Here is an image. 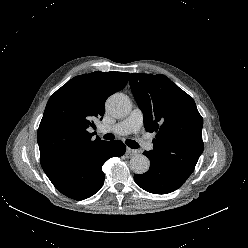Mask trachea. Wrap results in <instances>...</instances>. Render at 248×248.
<instances>
[{
	"instance_id": "3493384b",
	"label": "trachea",
	"mask_w": 248,
	"mask_h": 248,
	"mask_svg": "<svg viewBox=\"0 0 248 248\" xmlns=\"http://www.w3.org/2000/svg\"><path fill=\"white\" fill-rule=\"evenodd\" d=\"M103 138L106 139V140H113V139H115V136L113 134H111V133H108V134H105L103 136ZM126 144H127L128 147H130L132 149L139 148V144L134 140L127 139Z\"/></svg>"
}]
</instances>
